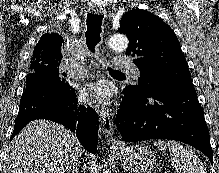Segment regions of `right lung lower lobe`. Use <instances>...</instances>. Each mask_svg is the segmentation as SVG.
Listing matches in <instances>:
<instances>
[{"instance_id":"right-lung-lower-lobe-1","label":"right lung lower lobe","mask_w":219,"mask_h":173,"mask_svg":"<svg viewBox=\"0 0 219 173\" xmlns=\"http://www.w3.org/2000/svg\"><path fill=\"white\" fill-rule=\"evenodd\" d=\"M35 119L66 126L76 133L87 151L96 154L99 128L96 112L79 105L74 89L65 88L52 75H38L26 81L11 139Z\"/></svg>"}]
</instances>
